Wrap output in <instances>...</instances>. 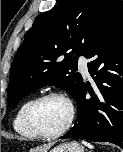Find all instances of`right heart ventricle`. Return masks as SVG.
<instances>
[{"instance_id": "1", "label": "right heart ventricle", "mask_w": 123, "mask_h": 152, "mask_svg": "<svg viewBox=\"0 0 123 152\" xmlns=\"http://www.w3.org/2000/svg\"><path fill=\"white\" fill-rule=\"evenodd\" d=\"M33 100L34 99H28L24 101L17 109L13 119V128L15 132L25 139H35L38 137L30 130L26 122L27 110Z\"/></svg>"}]
</instances>
